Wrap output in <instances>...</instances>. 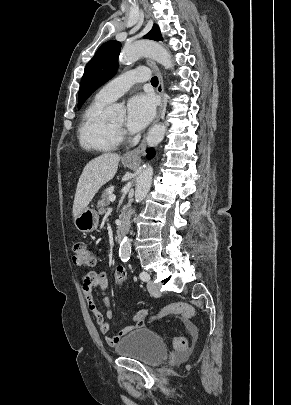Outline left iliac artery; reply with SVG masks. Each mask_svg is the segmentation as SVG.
Listing matches in <instances>:
<instances>
[{
  "label": "left iliac artery",
  "mask_w": 291,
  "mask_h": 405,
  "mask_svg": "<svg viewBox=\"0 0 291 405\" xmlns=\"http://www.w3.org/2000/svg\"><path fill=\"white\" fill-rule=\"evenodd\" d=\"M139 277H140V279H141L142 281H148V280L150 279V275H149L147 272H145V271H142V272L139 274Z\"/></svg>",
  "instance_id": "1"
}]
</instances>
